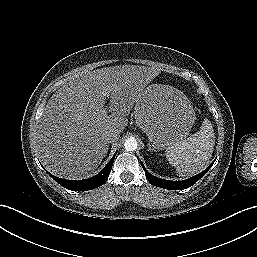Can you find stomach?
Here are the masks:
<instances>
[{
  "instance_id": "1",
  "label": "stomach",
  "mask_w": 257,
  "mask_h": 257,
  "mask_svg": "<svg viewBox=\"0 0 257 257\" xmlns=\"http://www.w3.org/2000/svg\"><path fill=\"white\" fill-rule=\"evenodd\" d=\"M135 120L156 148L171 147L184 140L195 121L188 98L178 89L153 84L136 102Z\"/></svg>"
}]
</instances>
